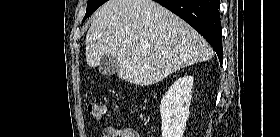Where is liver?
<instances>
[{
    "mask_svg": "<svg viewBox=\"0 0 280 137\" xmlns=\"http://www.w3.org/2000/svg\"><path fill=\"white\" fill-rule=\"evenodd\" d=\"M85 43L89 67L112 55L118 77L136 85L155 84L214 55L190 25L153 0H109L96 11Z\"/></svg>",
    "mask_w": 280,
    "mask_h": 137,
    "instance_id": "obj_1",
    "label": "liver"
}]
</instances>
